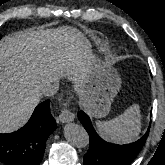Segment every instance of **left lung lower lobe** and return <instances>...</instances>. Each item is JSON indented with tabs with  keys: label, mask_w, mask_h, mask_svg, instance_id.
Returning <instances> with one entry per match:
<instances>
[{
	"label": "left lung lower lobe",
	"mask_w": 165,
	"mask_h": 165,
	"mask_svg": "<svg viewBox=\"0 0 165 165\" xmlns=\"http://www.w3.org/2000/svg\"><path fill=\"white\" fill-rule=\"evenodd\" d=\"M80 122L88 132L89 150L84 155L83 165H129L142 149L149 135V129L138 141L117 145L102 140L95 132L90 118L83 111L77 114Z\"/></svg>",
	"instance_id": "0a47b994"
}]
</instances>
